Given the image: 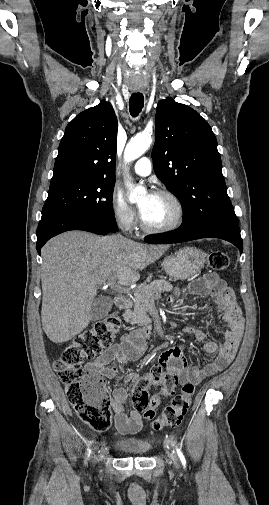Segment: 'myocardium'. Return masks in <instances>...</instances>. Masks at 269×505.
<instances>
[{
	"label": "myocardium",
	"mask_w": 269,
	"mask_h": 505,
	"mask_svg": "<svg viewBox=\"0 0 269 505\" xmlns=\"http://www.w3.org/2000/svg\"><path fill=\"white\" fill-rule=\"evenodd\" d=\"M155 194L169 198L176 206L177 216L173 222H171L167 225H163V226L149 225L144 220L143 216H141V218H140L141 228L144 231H146L148 233H153V234L166 233V232H170V231L178 229L183 224V222L185 220V215H186L185 207H184L182 201L180 200V198L176 194H174L173 192H171L167 189H160V190L156 191Z\"/></svg>",
	"instance_id": "obj_1"
}]
</instances>
